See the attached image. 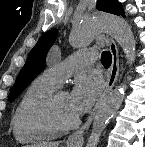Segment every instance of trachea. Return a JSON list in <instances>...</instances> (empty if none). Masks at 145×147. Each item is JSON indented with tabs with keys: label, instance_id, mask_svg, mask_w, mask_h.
Returning <instances> with one entry per match:
<instances>
[{
	"label": "trachea",
	"instance_id": "trachea-1",
	"mask_svg": "<svg viewBox=\"0 0 145 147\" xmlns=\"http://www.w3.org/2000/svg\"><path fill=\"white\" fill-rule=\"evenodd\" d=\"M101 62L103 66L108 67L112 62V55L109 51H104L101 55Z\"/></svg>",
	"mask_w": 145,
	"mask_h": 147
}]
</instances>
